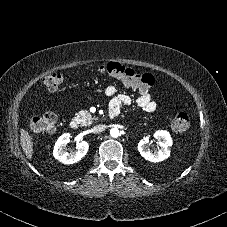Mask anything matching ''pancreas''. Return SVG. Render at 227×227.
<instances>
[{"label":"pancreas","mask_w":227,"mask_h":227,"mask_svg":"<svg viewBox=\"0 0 227 227\" xmlns=\"http://www.w3.org/2000/svg\"><path fill=\"white\" fill-rule=\"evenodd\" d=\"M76 118L83 126L91 125L97 118L89 113L87 110H81L76 114Z\"/></svg>","instance_id":"pancreas-1"}]
</instances>
